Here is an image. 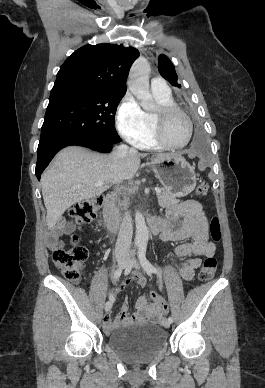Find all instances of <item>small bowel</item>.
Wrapping results in <instances>:
<instances>
[{"label": "small bowel", "instance_id": "c3829d8e", "mask_svg": "<svg viewBox=\"0 0 265 388\" xmlns=\"http://www.w3.org/2000/svg\"><path fill=\"white\" fill-rule=\"evenodd\" d=\"M164 222V229L160 233L161 239L168 242H183L186 239H192L189 243H180L175 248L178 257L184 259L179 273L186 280H192L196 270L200 267L202 257L213 256L216 252V245L209 241L208 220L203 212L200 202L188 200L166 210L165 217L161 218ZM81 230L71 221L59 218L52 226L50 231V248L62 247L63 244L58 240L59 236L72 232L75 229ZM135 283L139 287H144L147 278L134 273L131 278L117 286L109 295L112 301L115 300L118 293L130 284ZM138 312L129 313V303L126 301L121 307L120 313L115 319L110 314L104 317L103 327L106 332L127 323L158 322L161 319V308L155 303H148L144 296L139 297L137 301Z\"/></svg>", "mask_w": 265, "mask_h": 388}]
</instances>
